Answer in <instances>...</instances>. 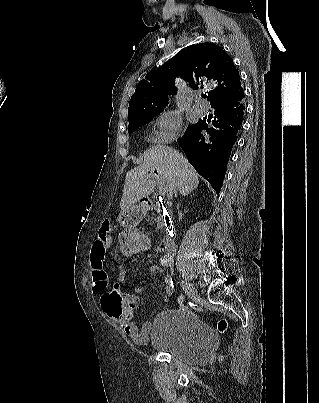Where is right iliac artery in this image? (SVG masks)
Here are the masks:
<instances>
[{"instance_id":"right-iliac-artery-1","label":"right iliac artery","mask_w":319,"mask_h":403,"mask_svg":"<svg viewBox=\"0 0 319 403\" xmlns=\"http://www.w3.org/2000/svg\"><path fill=\"white\" fill-rule=\"evenodd\" d=\"M165 282L168 284V286H169L172 290L175 289V288H174V284H173L172 277H171L170 275H167V276H166Z\"/></svg>"}]
</instances>
